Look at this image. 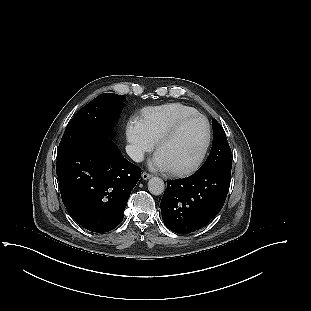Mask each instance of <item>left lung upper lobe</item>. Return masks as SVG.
Masks as SVG:
<instances>
[{"instance_id": "obj_1", "label": "left lung upper lobe", "mask_w": 311, "mask_h": 311, "mask_svg": "<svg viewBox=\"0 0 311 311\" xmlns=\"http://www.w3.org/2000/svg\"><path fill=\"white\" fill-rule=\"evenodd\" d=\"M213 126V146L210 155L206 159L201 169L219 168L231 172V149L229 147L226 134L221 125L212 120Z\"/></svg>"}]
</instances>
